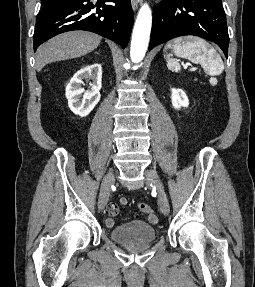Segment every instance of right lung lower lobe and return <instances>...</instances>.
Instances as JSON below:
<instances>
[{
    "instance_id": "98d812e1",
    "label": "right lung lower lobe",
    "mask_w": 255,
    "mask_h": 287,
    "mask_svg": "<svg viewBox=\"0 0 255 287\" xmlns=\"http://www.w3.org/2000/svg\"><path fill=\"white\" fill-rule=\"evenodd\" d=\"M130 0H57L44 5L36 18L34 51L60 33L87 30L125 48L133 25Z\"/></svg>"
}]
</instances>
